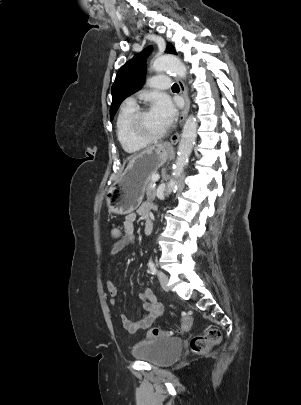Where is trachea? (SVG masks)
I'll return each mask as SVG.
<instances>
[{"instance_id":"obj_1","label":"trachea","mask_w":301,"mask_h":405,"mask_svg":"<svg viewBox=\"0 0 301 405\" xmlns=\"http://www.w3.org/2000/svg\"><path fill=\"white\" fill-rule=\"evenodd\" d=\"M172 90H179V86H178V84H173V86H172Z\"/></svg>"}]
</instances>
